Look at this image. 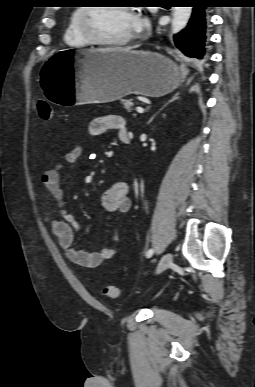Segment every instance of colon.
<instances>
[{
    "instance_id": "obj_1",
    "label": "colon",
    "mask_w": 255,
    "mask_h": 387,
    "mask_svg": "<svg viewBox=\"0 0 255 387\" xmlns=\"http://www.w3.org/2000/svg\"><path fill=\"white\" fill-rule=\"evenodd\" d=\"M37 109L39 116L43 120H49L52 117V108L51 106L45 102V101H39L37 104ZM103 293L105 296L109 298H117L120 294L119 288L115 285L109 284L106 285L103 289Z\"/></svg>"
}]
</instances>
